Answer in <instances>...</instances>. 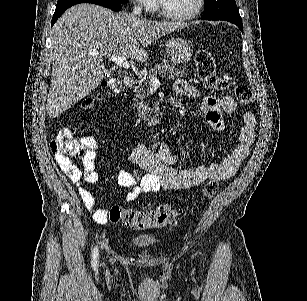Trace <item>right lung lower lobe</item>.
<instances>
[{"label":"right lung lower lobe","instance_id":"obj_1","mask_svg":"<svg viewBox=\"0 0 307 301\" xmlns=\"http://www.w3.org/2000/svg\"><path fill=\"white\" fill-rule=\"evenodd\" d=\"M79 3H93L97 5L104 6L106 8H109L113 11H120L122 8V4L118 0H77L74 2L62 4L59 6H56L53 18H52V25L57 21V19L71 6Z\"/></svg>","mask_w":307,"mask_h":301}]
</instances>
